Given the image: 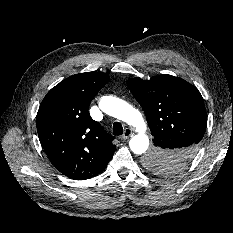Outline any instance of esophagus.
<instances>
[{
  "label": "esophagus",
  "instance_id": "esophagus-1",
  "mask_svg": "<svg viewBox=\"0 0 233 233\" xmlns=\"http://www.w3.org/2000/svg\"><path fill=\"white\" fill-rule=\"evenodd\" d=\"M132 135H133L132 130L129 129V128H126V129L124 130L123 135L121 136V139H122V140L128 139V138L131 137Z\"/></svg>",
  "mask_w": 233,
  "mask_h": 233
}]
</instances>
